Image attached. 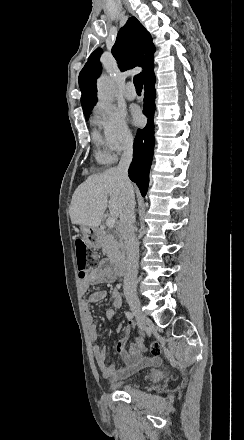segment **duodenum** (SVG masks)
I'll return each mask as SVG.
<instances>
[{
  "mask_svg": "<svg viewBox=\"0 0 244 440\" xmlns=\"http://www.w3.org/2000/svg\"><path fill=\"white\" fill-rule=\"evenodd\" d=\"M94 240H95V234H94ZM127 263H128V258L126 256L117 258L116 262L114 263V268L120 276L125 273L127 268Z\"/></svg>",
  "mask_w": 244,
  "mask_h": 440,
  "instance_id": "1",
  "label": "duodenum"
}]
</instances>
